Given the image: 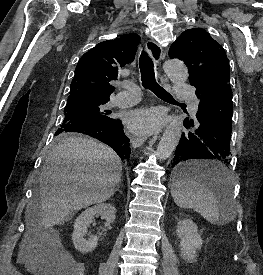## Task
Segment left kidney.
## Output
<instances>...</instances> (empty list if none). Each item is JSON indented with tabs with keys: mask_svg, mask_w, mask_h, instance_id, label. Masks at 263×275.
Wrapping results in <instances>:
<instances>
[{
	"mask_svg": "<svg viewBox=\"0 0 263 275\" xmlns=\"http://www.w3.org/2000/svg\"><path fill=\"white\" fill-rule=\"evenodd\" d=\"M176 233L180 238V256L189 262L195 261L196 250L201 249L203 244L197 225L191 219L180 220Z\"/></svg>",
	"mask_w": 263,
	"mask_h": 275,
	"instance_id": "1",
	"label": "left kidney"
}]
</instances>
